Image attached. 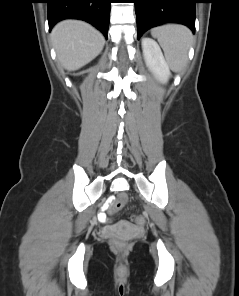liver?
Instances as JSON below:
<instances>
[{"label":"liver","instance_id":"liver-1","mask_svg":"<svg viewBox=\"0 0 239 296\" xmlns=\"http://www.w3.org/2000/svg\"><path fill=\"white\" fill-rule=\"evenodd\" d=\"M51 38L61 65L75 71L88 64L104 47V36L90 24L64 20L52 30Z\"/></svg>","mask_w":239,"mask_h":296}]
</instances>
